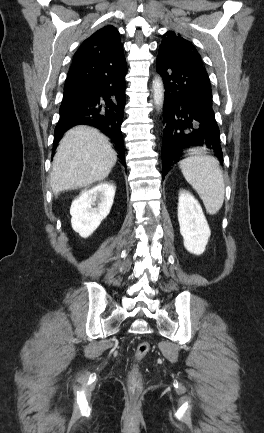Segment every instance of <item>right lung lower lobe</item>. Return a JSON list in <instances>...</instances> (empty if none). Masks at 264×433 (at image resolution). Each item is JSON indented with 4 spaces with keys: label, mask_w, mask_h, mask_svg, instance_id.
<instances>
[{
    "label": "right lung lower lobe",
    "mask_w": 264,
    "mask_h": 433,
    "mask_svg": "<svg viewBox=\"0 0 264 433\" xmlns=\"http://www.w3.org/2000/svg\"><path fill=\"white\" fill-rule=\"evenodd\" d=\"M126 60L73 63L69 69L60 120L55 127L54 148L63 134L75 125L94 126L108 135L125 164L121 124L125 106Z\"/></svg>",
    "instance_id": "right-lung-lower-lobe-1"
}]
</instances>
